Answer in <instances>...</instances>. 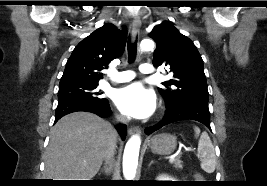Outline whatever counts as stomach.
I'll use <instances>...</instances> for the list:
<instances>
[{
	"instance_id": "0dacf381",
	"label": "stomach",
	"mask_w": 267,
	"mask_h": 186,
	"mask_svg": "<svg viewBox=\"0 0 267 186\" xmlns=\"http://www.w3.org/2000/svg\"><path fill=\"white\" fill-rule=\"evenodd\" d=\"M176 137L169 133H161L147 141V146L153 153L168 155L176 148Z\"/></svg>"
}]
</instances>
